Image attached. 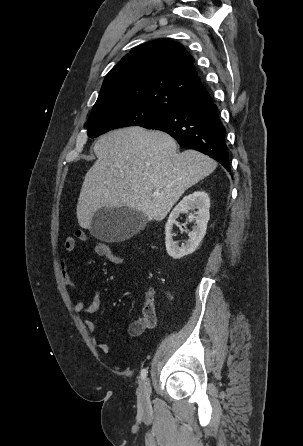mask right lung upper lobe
<instances>
[{"instance_id":"obj_1","label":"right lung upper lobe","mask_w":303,"mask_h":446,"mask_svg":"<svg viewBox=\"0 0 303 446\" xmlns=\"http://www.w3.org/2000/svg\"><path fill=\"white\" fill-rule=\"evenodd\" d=\"M193 57L175 41H151L125 55L107 74L93 108L143 104L169 111L208 94Z\"/></svg>"}]
</instances>
